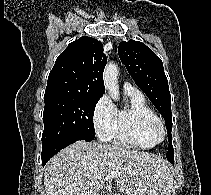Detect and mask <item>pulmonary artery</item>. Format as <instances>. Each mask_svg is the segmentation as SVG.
Instances as JSON below:
<instances>
[{
  "label": "pulmonary artery",
  "instance_id": "pulmonary-artery-1",
  "mask_svg": "<svg viewBox=\"0 0 211 195\" xmlns=\"http://www.w3.org/2000/svg\"><path fill=\"white\" fill-rule=\"evenodd\" d=\"M123 90L125 93H129V94H139L140 93V91L136 87H134L133 85H131L128 82L124 83Z\"/></svg>",
  "mask_w": 211,
  "mask_h": 195
}]
</instances>
